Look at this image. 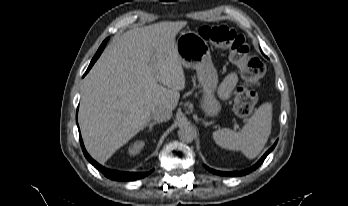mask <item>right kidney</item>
Segmentation results:
<instances>
[{
    "label": "right kidney",
    "mask_w": 348,
    "mask_h": 206,
    "mask_svg": "<svg viewBox=\"0 0 348 206\" xmlns=\"http://www.w3.org/2000/svg\"><path fill=\"white\" fill-rule=\"evenodd\" d=\"M145 143L144 141L137 140L134 143H132L128 148V153L131 156H135L140 153V151L143 149Z\"/></svg>",
    "instance_id": "right-kidney-1"
}]
</instances>
